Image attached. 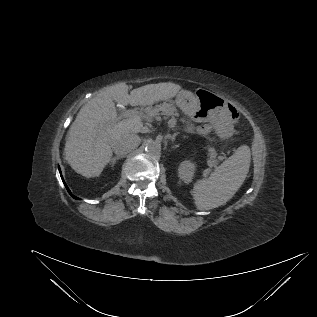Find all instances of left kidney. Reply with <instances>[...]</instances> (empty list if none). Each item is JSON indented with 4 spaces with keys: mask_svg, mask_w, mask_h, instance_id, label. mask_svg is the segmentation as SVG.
Listing matches in <instances>:
<instances>
[{
    "mask_svg": "<svg viewBox=\"0 0 317 317\" xmlns=\"http://www.w3.org/2000/svg\"><path fill=\"white\" fill-rule=\"evenodd\" d=\"M195 172V164L189 160L180 163L178 175L184 183L188 184L192 181Z\"/></svg>",
    "mask_w": 317,
    "mask_h": 317,
    "instance_id": "5707ae66",
    "label": "left kidney"
}]
</instances>
